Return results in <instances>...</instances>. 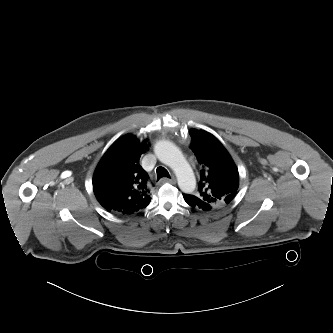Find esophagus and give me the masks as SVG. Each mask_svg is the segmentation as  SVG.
Here are the masks:
<instances>
[{
  "instance_id": "34e87169",
  "label": "esophagus",
  "mask_w": 333,
  "mask_h": 333,
  "mask_svg": "<svg viewBox=\"0 0 333 333\" xmlns=\"http://www.w3.org/2000/svg\"><path fill=\"white\" fill-rule=\"evenodd\" d=\"M160 183H171V184H175L176 183V179L173 177V178H162L160 180Z\"/></svg>"
}]
</instances>
